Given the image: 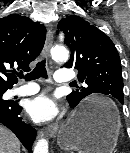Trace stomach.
<instances>
[{
  "instance_id": "1",
  "label": "stomach",
  "mask_w": 130,
  "mask_h": 153,
  "mask_svg": "<svg viewBox=\"0 0 130 153\" xmlns=\"http://www.w3.org/2000/svg\"><path fill=\"white\" fill-rule=\"evenodd\" d=\"M91 108L89 116L82 112ZM121 128L117 107L110 99L92 97L75 110L58 132V145L78 153H113Z\"/></svg>"
}]
</instances>
